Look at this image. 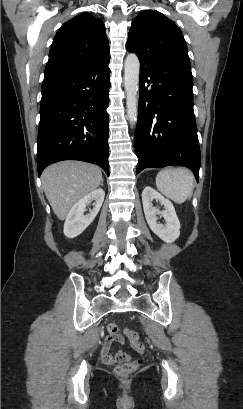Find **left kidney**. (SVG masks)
I'll use <instances>...</instances> for the list:
<instances>
[{
    "mask_svg": "<svg viewBox=\"0 0 243 409\" xmlns=\"http://www.w3.org/2000/svg\"><path fill=\"white\" fill-rule=\"evenodd\" d=\"M154 199L164 206L163 211L153 207L152 201ZM142 203L150 229L163 241L174 242L180 235V222L173 204L150 186L145 187L142 192ZM157 215L165 219V225L157 223Z\"/></svg>",
    "mask_w": 243,
    "mask_h": 409,
    "instance_id": "5707ae66",
    "label": "left kidney"
}]
</instances>
